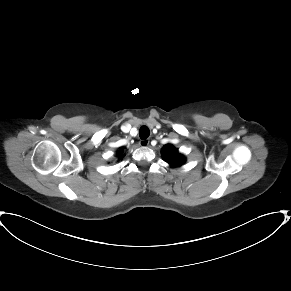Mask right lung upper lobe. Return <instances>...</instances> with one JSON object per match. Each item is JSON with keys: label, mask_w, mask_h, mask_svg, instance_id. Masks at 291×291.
Segmentation results:
<instances>
[{"label": "right lung upper lobe", "mask_w": 291, "mask_h": 291, "mask_svg": "<svg viewBox=\"0 0 291 291\" xmlns=\"http://www.w3.org/2000/svg\"><path fill=\"white\" fill-rule=\"evenodd\" d=\"M123 158V152H118V160Z\"/></svg>", "instance_id": "obj_1"}]
</instances>
